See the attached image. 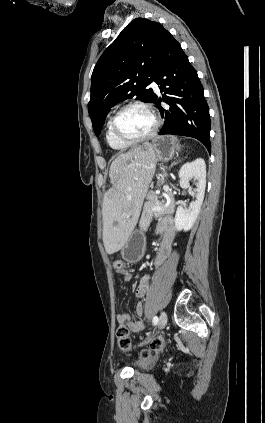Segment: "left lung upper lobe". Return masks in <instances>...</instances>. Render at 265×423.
<instances>
[{
  "label": "left lung upper lobe",
  "mask_w": 265,
  "mask_h": 423,
  "mask_svg": "<svg viewBox=\"0 0 265 423\" xmlns=\"http://www.w3.org/2000/svg\"><path fill=\"white\" fill-rule=\"evenodd\" d=\"M170 33L158 22L129 23L98 60L91 78L88 110L98 136L111 107L134 96L153 102V81Z\"/></svg>",
  "instance_id": "left-lung-upper-lobe-1"
}]
</instances>
